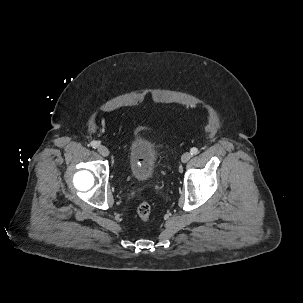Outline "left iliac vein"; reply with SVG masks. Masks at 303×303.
Here are the masks:
<instances>
[{"instance_id":"left-iliac-vein-1","label":"left iliac vein","mask_w":303,"mask_h":303,"mask_svg":"<svg viewBox=\"0 0 303 303\" xmlns=\"http://www.w3.org/2000/svg\"><path fill=\"white\" fill-rule=\"evenodd\" d=\"M192 157L191 153L190 152H185L182 157H181V161L183 163H186L190 160V158Z\"/></svg>"}]
</instances>
